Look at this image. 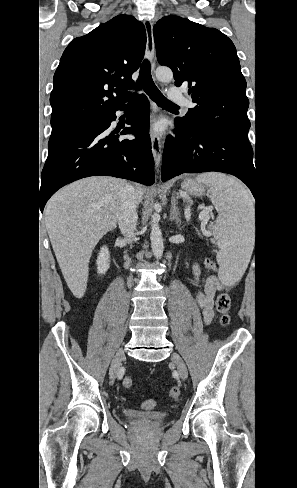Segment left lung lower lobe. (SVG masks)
Returning a JSON list of instances; mask_svg holds the SVG:
<instances>
[{
	"label": "left lung lower lobe",
	"mask_w": 297,
	"mask_h": 488,
	"mask_svg": "<svg viewBox=\"0 0 297 488\" xmlns=\"http://www.w3.org/2000/svg\"><path fill=\"white\" fill-rule=\"evenodd\" d=\"M218 171L242 180L256 199L257 176L249 142L220 132L187 129L175 119V131L165 143L162 181L183 173Z\"/></svg>",
	"instance_id": "0a47b994"
}]
</instances>
